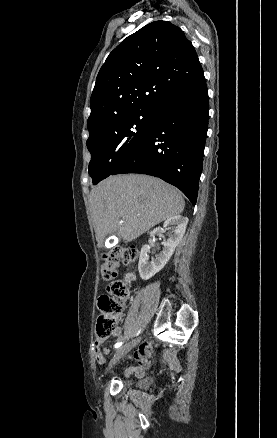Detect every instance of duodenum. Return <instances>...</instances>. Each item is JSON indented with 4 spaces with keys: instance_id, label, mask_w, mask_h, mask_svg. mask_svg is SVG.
Returning <instances> with one entry per match:
<instances>
[{
    "instance_id": "1",
    "label": "duodenum",
    "mask_w": 277,
    "mask_h": 438,
    "mask_svg": "<svg viewBox=\"0 0 277 438\" xmlns=\"http://www.w3.org/2000/svg\"><path fill=\"white\" fill-rule=\"evenodd\" d=\"M133 280V275L132 274H129L128 276H127V281H132Z\"/></svg>"
}]
</instances>
